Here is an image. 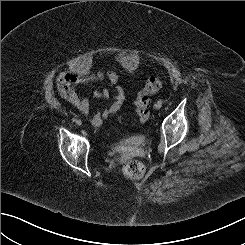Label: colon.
Wrapping results in <instances>:
<instances>
[{"label": "colon", "instance_id": "1", "mask_svg": "<svg viewBox=\"0 0 245 245\" xmlns=\"http://www.w3.org/2000/svg\"><path fill=\"white\" fill-rule=\"evenodd\" d=\"M162 88V81L158 77H150L143 89L138 93L135 100L137 118L140 122H145L150 114V96L157 93ZM125 176L131 179H140L145 173V166L138 160L128 161L123 167Z\"/></svg>", "mask_w": 245, "mask_h": 245}]
</instances>
